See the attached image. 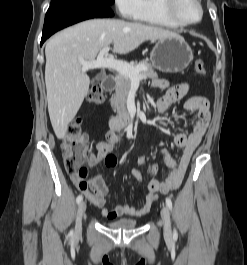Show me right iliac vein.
Returning <instances> with one entry per match:
<instances>
[{
    "instance_id": "obj_1",
    "label": "right iliac vein",
    "mask_w": 247,
    "mask_h": 265,
    "mask_svg": "<svg viewBox=\"0 0 247 265\" xmlns=\"http://www.w3.org/2000/svg\"><path fill=\"white\" fill-rule=\"evenodd\" d=\"M86 211V203L80 202L77 210L76 224H75V234L79 235L82 228V217Z\"/></svg>"
}]
</instances>
